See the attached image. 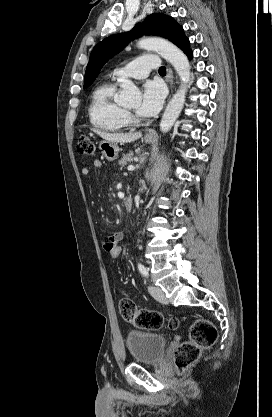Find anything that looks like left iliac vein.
Instances as JSON below:
<instances>
[{
  "mask_svg": "<svg viewBox=\"0 0 272 417\" xmlns=\"http://www.w3.org/2000/svg\"><path fill=\"white\" fill-rule=\"evenodd\" d=\"M150 294L159 302L166 303L167 298L164 291L158 286H149Z\"/></svg>",
  "mask_w": 272,
  "mask_h": 417,
  "instance_id": "1",
  "label": "left iliac vein"
}]
</instances>
